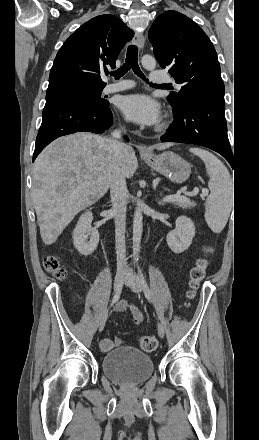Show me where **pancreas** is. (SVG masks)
Listing matches in <instances>:
<instances>
[{
    "label": "pancreas",
    "mask_w": 259,
    "mask_h": 440,
    "mask_svg": "<svg viewBox=\"0 0 259 440\" xmlns=\"http://www.w3.org/2000/svg\"><path fill=\"white\" fill-rule=\"evenodd\" d=\"M172 203L182 208H192L195 206V203L192 201H188V202L174 201Z\"/></svg>",
    "instance_id": "cf45deb5"
}]
</instances>
